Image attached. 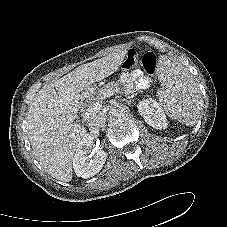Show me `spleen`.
<instances>
[{
	"label": "spleen",
	"instance_id": "spleen-1",
	"mask_svg": "<svg viewBox=\"0 0 227 227\" xmlns=\"http://www.w3.org/2000/svg\"><path fill=\"white\" fill-rule=\"evenodd\" d=\"M158 71L165 112L182 124L193 126L200 117L203 100L192 75L180 61L168 56L160 57Z\"/></svg>",
	"mask_w": 227,
	"mask_h": 227
}]
</instances>
